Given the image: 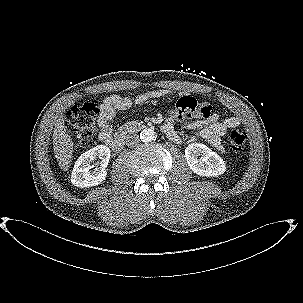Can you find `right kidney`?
<instances>
[{"mask_svg": "<svg viewBox=\"0 0 303 303\" xmlns=\"http://www.w3.org/2000/svg\"><path fill=\"white\" fill-rule=\"evenodd\" d=\"M100 158L101 165L98 169L92 170L93 160ZM110 159V149L105 145H98L83 153L76 161L71 183L76 187H92L102 183L107 175L106 167Z\"/></svg>", "mask_w": 303, "mask_h": 303, "instance_id": "1", "label": "right kidney"}]
</instances>
